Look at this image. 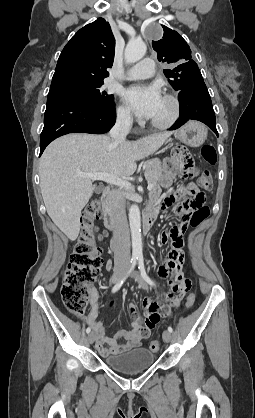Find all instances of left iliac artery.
<instances>
[{
	"instance_id": "obj_1",
	"label": "left iliac artery",
	"mask_w": 255,
	"mask_h": 418,
	"mask_svg": "<svg viewBox=\"0 0 255 418\" xmlns=\"http://www.w3.org/2000/svg\"><path fill=\"white\" fill-rule=\"evenodd\" d=\"M137 260H138V268H139V270H140V273H141V276H142V278L149 284V285H151V286H154L155 284H154V282L152 281V279L147 275V273H146V270H145V267H144V259H143V256L142 255H139L138 257H137ZM168 331L170 332V333H172L173 332V329H172V327L171 326H169L168 327Z\"/></svg>"
}]
</instances>
